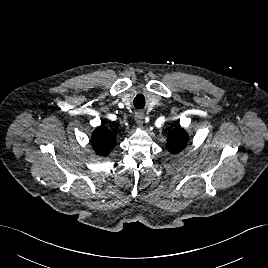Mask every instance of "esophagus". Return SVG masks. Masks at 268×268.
<instances>
[{
	"label": "esophagus",
	"instance_id": "esophagus-1",
	"mask_svg": "<svg viewBox=\"0 0 268 268\" xmlns=\"http://www.w3.org/2000/svg\"><path fill=\"white\" fill-rule=\"evenodd\" d=\"M135 121L138 126L143 127L144 124V114L142 112H136L135 114Z\"/></svg>",
	"mask_w": 268,
	"mask_h": 268
}]
</instances>
